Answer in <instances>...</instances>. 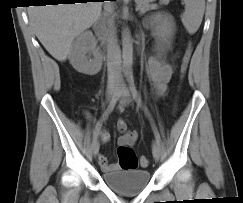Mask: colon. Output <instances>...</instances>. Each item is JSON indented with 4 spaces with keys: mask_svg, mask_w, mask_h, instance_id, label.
<instances>
[{
    "mask_svg": "<svg viewBox=\"0 0 243 203\" xmlns=\"http://www.w3.org/2000/svg\"><path fill=\"white\" fill-rule=\"evenodd\" d=\"M192 51H193L192 46H191V44H189L183 55L182 63L180 66L181 78H183L185 76V74L187 73L190 59L192 56ZM117 156H118L120 168L123 170H135V169H137L139 163L142 167H147L149 164V161L146 157H142L140 159V161H138L134 150L130 146H127V145L118 146Z\"/></svg>",
    "mask_w": 243,
    "mask_h": 203,
    "instance_id": "5ec220e1",
    "label": "colon"
}]
</instances>
